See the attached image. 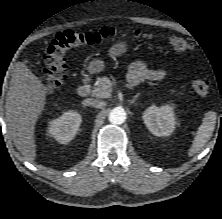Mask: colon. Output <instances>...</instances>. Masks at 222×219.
I'll list each match as a JSON object with an SVG mask.
<instances>
[{
	"instance_id": "5ec220e1",
	"label": "colon",
	"mask_w": 222,
	"mask_h": 219,
	"mask_svg": "<svg viewBox=\"0 0 222 219\" xmlns=\"http://www.w3.org/2000/svg\"><path fill=\"white\" fill-rule=\"evenodd\" d=\"M119 31L113 27H104L96 31L77 32L65 31L58 34L49 45L45 57L44 81L49 89L62 86L68 76L67 53L79 46L98 45L118 36ZM124 35L132 39H148L150 35L139 30L124 32ZM170 46L178 52H186L191 49V43L179 36L168 38ZM193 89L199 95H206L210 89V82L206 79L193 81Z\"/></svg>"
}]
</instances>
